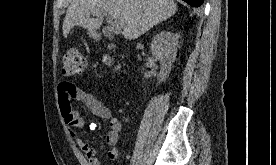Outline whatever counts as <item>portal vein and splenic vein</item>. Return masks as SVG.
Instances as JSON below:
<instances>
[{"label":"portal vein and splenic vein","instance_id":"obj_1","mask_svg":"<svg viewBox=\"0 0 276 165\" xmlns=\"http://www.w3.org/2000/svg\"><path fill=\"white\" fill-rule=\"evenodd\" d=\"M93 15H95V14H93ZM107 22H108L111 26L115 27L116 29H120V28H122V26H123V24H122L119 20L113 19V18H111L110 16L107 17Z\"/></svg>","mask_w":276,"mask_h":165}]
</instances>
